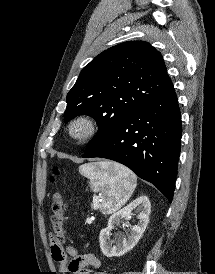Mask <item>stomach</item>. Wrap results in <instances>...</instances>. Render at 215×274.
I'll list each match as a JSON object with an SVG mask.
<instances>
[{"label":"stomach","instance_id":"0dacf381","mask_svg":"<svg viewBox=\"0 0 215 274\" xmlns=\"http://www.w3.org/2000/svg\"><path fill=\"white\" fill-rule=\"evenodd\" d=\"M110 164H111V166H114V165H116V163H113V162H109Z\"/></svg>","mask_w":215,"mask_h":274}]
</instances>
